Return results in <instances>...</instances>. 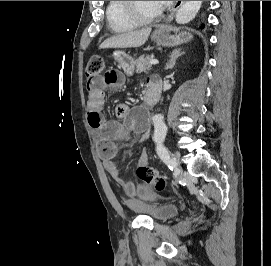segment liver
Here are the masks:
<instances>
[{
  "label": "liver",
  "mask_w": 271,
  "mask_h": 266,
  "mask_svg": "<svg viewBox=\"0 0 271 266\" xmlns=\"http://www.w3.org/2000/svg\"><path fill=\"white\" fill-rule=\"evenodd\" d=\"M151 27L129 31L107 38L101 45L104 48H137L145 44L151 33Z\"/></svg>",
  "instance_id": "obj_1"
}]
</instances>
